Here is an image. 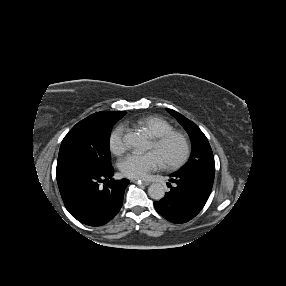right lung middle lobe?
Here are the masks:
<instances>
[{
    "mask_svg": "<svg viewBox=\"0 0 286 286\" xmlns=\"http://www.w3.org/2000/svg\"><path fill=\"white\" fill-rule=\"evenodd\" d=\"M126 112L88 118L77 123L64 137L57 161V172L78 166L111 165L109 140L112 127Z\"/></svg>",
    "mask_w": 286,
    "mask_h": 286,
    "instance_id": "dd1d6c3e",
    "label": "right lung middle lobe"
}]
</instances>
